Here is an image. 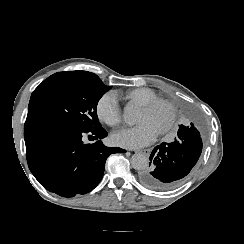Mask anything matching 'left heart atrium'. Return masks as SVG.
<instances>
[{
  "instance_id": "left-heart-atrium-1",
  "label": "left heart atrium",
  "mask_w": 244,
  "mask_h": 244,
  "mask_svg": "<svg viewBox=\"0 0 244 244\" xmlns=\"http://www.w3.org/2000/svg\"><path fill=\"white\" fill-rule=\"evenodd\" d=\"M157 134L148 124H139L134 128L114 133L112 141L115 145L136 149L153 143L157 138Z\"/></svg>"
}]
</instances>
